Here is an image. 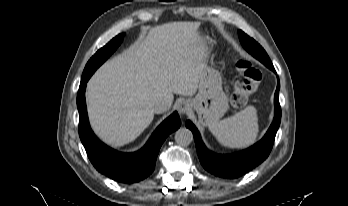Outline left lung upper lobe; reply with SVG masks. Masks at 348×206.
<instances>
[{
    "label": "left lung upper lobe",
    "instance_id": "1",
    "mask_svg": "<svg viewBox=\"0 0 348 206\" xmlns=\"http://www.w3.org/2000/svg\"><path fill=\"white\" fill-rule=\"evenodd\" d=\"M240 36H243L248 43H251L253 45H255L256 47L260 48L262 50V52L264 53V57L266 58V60L271 64L269 57L267 56V54L265 53V51L261 48V46L252 38H250L249 36H247L244 32L239 31Z\"/></svg>",
    "mask_w": 348,
    "mask_h": 206
}]
</instances>
